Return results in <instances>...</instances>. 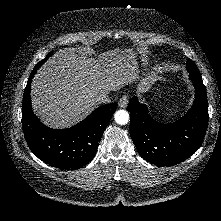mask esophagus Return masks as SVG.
Here are the masks:
<instances>
[{"instance_id": "1", "label": "esophagus", "mask_w": 221, "mask_h": 221, "mask_svg": "<svg viewBox=\"0 0 221 221\" xmlns=\"http://www.w3.org/2000/svg\"><path fill=\"white\" fill-rule=\"evenodd\" d=\"M118 105L121 108H126L128 105V97L127 96H122L119 101H118Z\"/></svg>"}]
</instances>
